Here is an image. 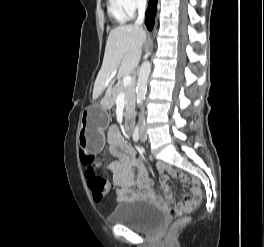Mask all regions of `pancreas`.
<instances>
[{
    "label": "pancreas",
    "instance_id": "obj_1",
    "mask_svg": "<svg viewBox=\"0 0 264 247\" xmlns=\"http://www.w3.org/2000/svg\"><path fill=\"white\" fill-rule=\"evenodd\" d=\"M120 92L125 93V112L124 115L128 116L129 112L133 108L134 105V91L131 87H124L123 85H119L111 91L112 96L105 101V107H111L114 105L117 95Z\"/></svg>",
    "mask_w": 264,
    "mask_h": 247
}]
</instances>
